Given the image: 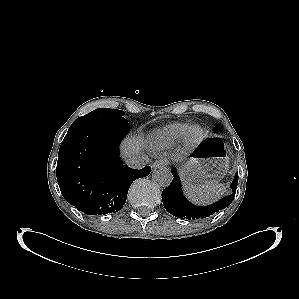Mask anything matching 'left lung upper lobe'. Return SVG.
Instances as JSON below:
<instances>
[{"label":"left lung upper lobe","mask_w":299,"mask_h":299,"mask_svg":"<svg viewBox=\"0 0 299 299\" xmlns=\"http://www.w3.org/2000/svg\"><path fill=\"white\" fill-rule=\"evenodd\" d=\"M219 128H220V127H219V126H217V127H216V129H215L214 131H216V130H219Z\"/></svg>","instance_id":"obj_1"}]
</instances>
